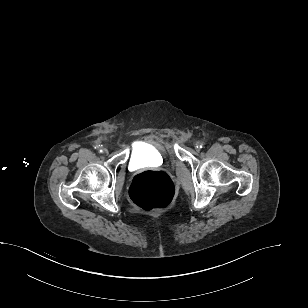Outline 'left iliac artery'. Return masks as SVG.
<instances>
[{"instance_id": "left-iliac-artery-1", "label": "left iliac artery", "mask_w": 308, "mask_h": 308, "mask_svg": "<svg viewBox=\"0 0 308 308\" xmlns=\"http://www.w3.org/2000/svg\"><path fill=\"white\" fill-rule=\"evenodd\" d=\"M204 144L202 142L199 143V148H202Z\"/></svg>"}]
</instances>
